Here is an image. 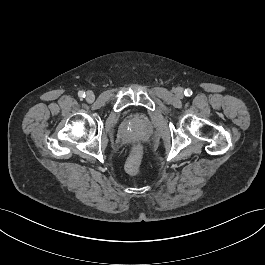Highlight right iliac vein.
I'll return each instance as SVG.
<instances>
[{
    "label": "right iliac vein",
    "mask_w": 265,
    "mask_h": 265,
    "mask_svg": "<svg viewBox=\"0 0 265 265\" xmlns=\"http://www.w3.org/2000/svg\"><path fill=\"white\" fill-rule=\"evenodd\" d=\"M94 99H95L94 94L92 92H87V94H86V100H87V102L91 103V102L94 101Z\"/></svg>",
    "instance_id": "right-iliac-vein-1"
}]
</instances>
